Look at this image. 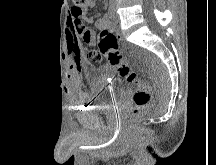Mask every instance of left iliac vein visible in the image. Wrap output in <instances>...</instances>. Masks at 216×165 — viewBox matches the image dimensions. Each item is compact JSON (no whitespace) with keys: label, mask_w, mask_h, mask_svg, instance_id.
Masks as SVG:
<instances>
[{"label":"left iliac vein","mask_w":216,"mask_h":165,"mask_svg":"<svg viewBox=\"0 0 216 165\" xmlns=\"http://www.w3.org/2000/svg\"><path fill=\"white\" fill-rule=\"evenodd\" d=\"M114 20H115V22H118L119 21V16L115 13V15H114Z\"/></svg>","instance_id":"1"}]
</instances>
